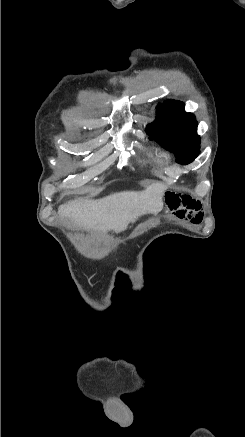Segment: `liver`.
Here are the masks:
<instances>
[{
    "label": "liver",
    "mask_w": 245,
    "mask_h": 437,
    "mask_svg": "<svg viewBox=\"0 0 245 437\" xmlns=\"http://www.w3.org/2000/svg\"><path fill=\"white\" fill-rule=\"evenodd\" d=\"M166 186L153 183L142 191H124L100 200H75L59 207L61 217H68L77 228L116 233L127 229L145 214L157 215L163 209Z\"/></svg>",
    "instance_id": "1"
}]
</instances>
